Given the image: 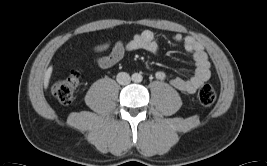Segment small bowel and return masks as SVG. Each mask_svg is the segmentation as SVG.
Segmentation results:
<instances>
[{
    "mask_svg": "<svg viewBox=\"0 0 267 166\" xmlns=\"http://www.w3.org/2000/svg\"><path fill=\"white\" fill-rule=\"evenodd\" d=\"M174 41L183 44L185 50L192 54L194 61V73L189 78L174 77L170 83L173 87L186 93H194L199 86L210 77V64L203 50L202 45L193 37L183 36L177 33L173 37ZM109 52L104 54L105 52ZM145 50L151 54L159 52V45L150 30H143L134 35L126 42L118 41L114 45L109 42H103L93 47L96 56V64L100 68H109L122 60L126 52ZM156 77L164 80L167 74L164 71H158Z\"/></svg>",
    "mask_w": 267,
    "mask_h": 166,
    "instance_id": "1",
    "label": "small bowel"
}]
</instances>
